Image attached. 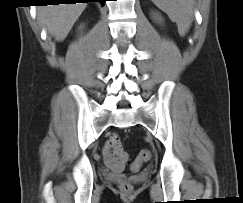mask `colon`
Returning a JSON list of instances; mask_svg holds the SVG:
<instances>
[{
  "mask_svg": "<svg viewBox=\"0 0 243 203\" xmlns=\"http://www.w3.org/2000/svg\"><path fill=\"white\" fill-rule=\"evenodd\" d=\"M151 156L152 155L149 150H142L139 153L138 162H137L136 166H140L142 163L147 162L151 158ZM119 159L124 163L127 162L129 159L128 153L126 151H124L123 149H121L119 151ZM119 189L124 193H130L132 191L133 187L129 182L124 181V182L120 183Z\"/></svg>",
  "mask_w": 243,
  "mask_h": 203,
  "instance_id": "obj_1",
  "label": "colon"
}]
</instances>
